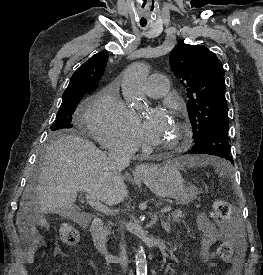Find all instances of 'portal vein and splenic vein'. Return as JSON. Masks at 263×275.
I'll return each instance as SVG.
<instances>
[{
    "label": "portal vein and splenic vein",
    "instance_id": "portal-vein-and-splenic-vein-1",
    "mask_svg": "<svg viewBox=\"0 0 263 275\" xmlns=\"http://www.w3.org/2000/svg\"><path fill=\"white\" fill-rule=\"evenodd\" d=\"M86 199H87L88 204L92 208H94L96 211L104 213V214H110L111 213L110 208H108L103 203L99 202V200H97L94 195L88 193L86 195ZM170 211H172V207H170V206H167V207H164V208L161 209L162 213H166V212H170Z\"/></svg>",
    "mask_w": 263,
    "mask_h": 275
}]
</instances>
